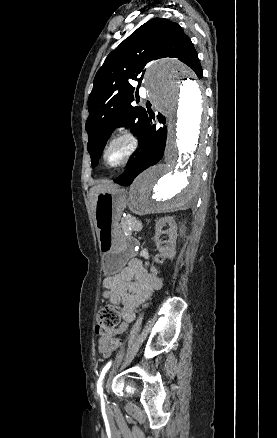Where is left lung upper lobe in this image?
I'll use <instances>...</instances> for the list:
<instances>
[{"mask_svg":"<svg viewBox=\"0 0 277 438\" xmlns=\"http://www.w3.org/2000/svg\"><path fill=\"white\" fill-rule=\"evenodd\" d=\"M163 57L178 58L202 78L201 64L190 38L179 24L165 18H154L140 26L107 56L96 73L86 121L87 149L93 166L117 126L131 127L141 138L148 132L150 113L131 105L135 89L130 81L137 80L139 88L147 63Z\"/></svg>","mask_w":277,"mask_h":438,"instance_id":"obj_1","label":"left lung upper lobe"}]
</instances>
